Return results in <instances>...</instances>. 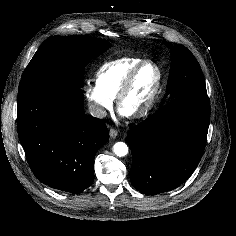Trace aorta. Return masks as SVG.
<instances>
[{"label": "aorta", "mask_w": 236, "mask_h": 236, "mask_svg": "<svg viewBox=\"0 0 236 236\" xmlns=\"http://www.w3.org/2000/svg\"><path fill=\"white\" fill-rule=\"evenodd\" d=\"M113 150L118 157H123L128 153V146L124 142H117L114 144Z\"/></svg>", "instance_id": "762f6f07"}]
</instances>
